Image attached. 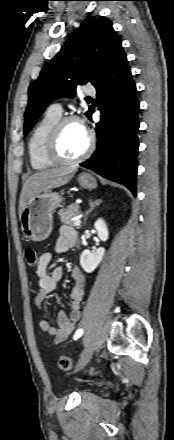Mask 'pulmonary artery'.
<instances>
[{"label": "pulmonary artery", "mask_w": 174, "mask_h": 440, "mask_svg": "<svg viewBox=\"0 0 174 440\" xmlns=\"http://www.w3.org/2000/svg\"><path fill=\"white\" fill-rule=\"evenodd\" d=\"M95 92H96V90L92 86H87L84 89V93L87 94V95H94ZM48 111L53 113V114H55V115L61 116L62 113H63V108H62L61 104L54 103V104L49 106Z\"/></svg>", "instance_id": "pulmonary-artery-1"}]
</instances>
